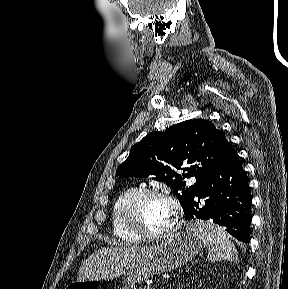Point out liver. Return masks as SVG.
<instances>
[{"label":"liver","mask_w":288,"mask_h":289,"mask_svg":"<svg viewBox=\"0 0 288 289\" xmlns=\"http://www.w3.org/2000/svg\"><path fill=\"white\" fill-rule=\"evenodd\" d=\"M148 247L110 246L99 249L80 266L78 280H91L103 274L131 265L149 254Z\"/></svg>","instance_id":"6515ba94"}]
</instances>
